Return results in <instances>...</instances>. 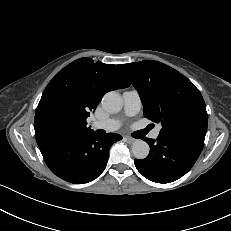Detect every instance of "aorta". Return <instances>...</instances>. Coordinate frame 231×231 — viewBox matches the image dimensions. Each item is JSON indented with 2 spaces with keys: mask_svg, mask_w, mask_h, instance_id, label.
<instances>
[{
  "mask_svg": "<svg viewBox=\"0 0 231 231\" xmlns=\"http://www.w3.org/2000/svg\"><path fill=\"white\" fill-rule=\"evenodd\" d=\"M103 108L109 113H117L122 109L123 101L121 96L114 91L108 92L102 99ZM150 152V147L143 140H136L132 145V153L136 159H145Z\"/></svg>",
  "mask_w": 231,
  "mask_h": 231,
  "instance_id": "1",
  "label": "aorta"
}]
</instances>
